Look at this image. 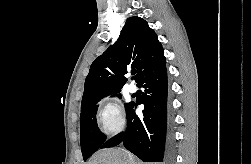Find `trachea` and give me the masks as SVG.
<instances>
[{
	"label": "trachea",
	"mask_w": 251,
	"mask_h": 164,
	"mask_svg": "<svg viewBox=\"0 0 251 164\" xmlns=\"http://www.w3.org/2000/svg\"><path fill=\"white\" fill-rule=\"evenodd\" d=\"M136 73V71H133V74H135Z\"/></svg>",
	"instance_id": "trachea-1"
}]
</instances>
